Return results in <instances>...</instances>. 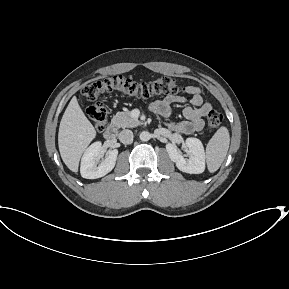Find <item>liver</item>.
<instances>
[{"label":"liver","instance_id":"liver-1","mask_svg":"<svg viewBox=\"0 0 289 289\" xmlns=\"http://www.w3.org/2000/svg\"><path fill=\"white\" fill-rule=\"evenodd\" d=\"M95 136V128L85 116L77 98L72 97L61 119L58 133L61 158L71 171H78L80 158Z\"/></svg>","mask_w":289,"mask_h":289}]
</instances>
